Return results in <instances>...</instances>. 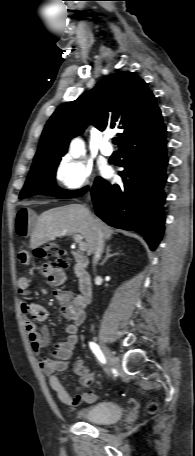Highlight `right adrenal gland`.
I'll use <instances>...</instances> for the list:
<instances>
[{
    "mask_svg": "<svg viewBox=\"0 0 195 456\" xmlns=\"http://www.w3.org/2000/svg\"><path fill=\"white\" fill-rule=\"evenodd\" d=\"M110 252H111V245H108L106 248V255L102 261V264H104L109 258L119 254V253H110Z\"/></svg>",
    "mask_w": 195,
    "mask_h": 456,
    "instance_id": "obj_1",
    "label": "right adrenal gland"
}]
</instances>
